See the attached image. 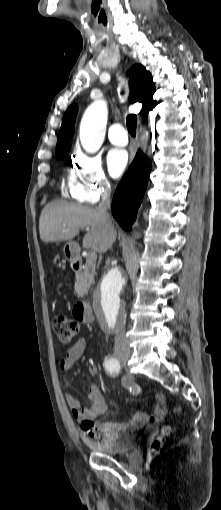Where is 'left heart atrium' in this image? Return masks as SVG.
Returning <instances> with one entry per match:
<instances>
[{
  "label": "left heart atrium",
  "instance_id": "obj_1",
  "mask_svg": "<svg viewBox=\"0 0 221 510\" xmlns=\"http://www.w3.org/2000/svg\"><path fill=\"white\" fill-rule=\"evenodd\" d=\"M108 168L113 177H119L128 165V155L124 150L112 149L107 157Z\"/></svg>",
  "mask_w": 221,
  "mask_h": 510
}]
</instances>
